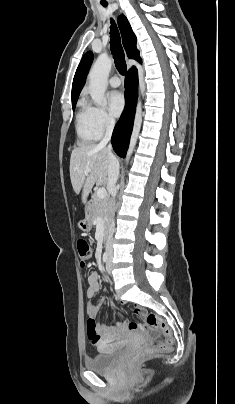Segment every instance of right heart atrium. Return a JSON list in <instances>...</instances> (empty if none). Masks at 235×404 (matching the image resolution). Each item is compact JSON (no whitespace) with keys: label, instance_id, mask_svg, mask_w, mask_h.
Wrapping results in <instances>:
<instances>
[{"label":"right heart atrium","instance_id":"1","mask_svg":"<svg viewBox=\"0 0 235 404\" xmlns=\"http://www.w3.org/2000/svg\"><path fill=\"white\" fill-rule=\"evenodd\" d=\"M93 125L96 131L100 134L113 127L115 121L113 117L100 106L90 105Z\"/></svg>","mask_w":235,"mask_h":404}]
</instances>
